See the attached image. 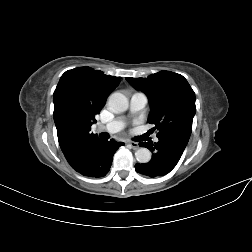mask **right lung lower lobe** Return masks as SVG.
Listing matches in <instances>:
<instances>
[{
  "mask_svg": "<svg viewBox=\"0 0 252 252\" xmlns=\"http://www.w3.org/2000/svg\"><path fill=\"white\" fill-rule=\"evenodd\" d=\"M124 143L94 138L77 145L65 156L72 168L83 176L99 178L110 170L116 150Z\"/></svg>",
  "mask_w": 252,
  "mask_h": 252,
  "instance_id": "right-lung-lower-lobe-1",
  "label": "right lung lower lobe"
}]
</instances>
